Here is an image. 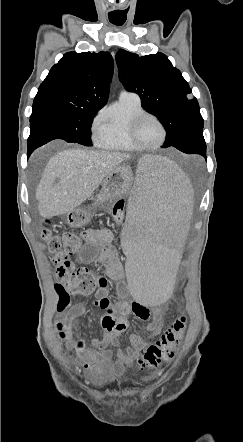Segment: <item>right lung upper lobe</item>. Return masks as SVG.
Returning <instances> with one entry per match:
<instances>
[{
	"label": "right lung upper lobe",
	"mask_w": 243,
	"mask_h": 442,
	"mask_svg": "<svg viewBox=\"0 0 243 442\" xmlns=\"http://www.w3.org/2000/svg\"><path fill=\"white\" fill-rule=\"evenodd\" d=\"M113 66L108 52H68L51 68L35 98L56 97L77 107L100 109L107 102Z\"/></svg>",
	"instance_id": "right-lung-upper-lobe-1"
}]
</instances>
